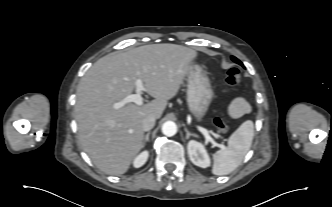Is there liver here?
Here are the masks:
<instances>
[{
  "mask_svg": "<svg viewBox=\"0 0 332 207\" xmlns=\"http://www.w3.org/2000/svg\"><path fill=\"white\" fill-rule=\"evenodd\" d=\"M196 57L185 46L153 44L108 54L91 66L77 87L75 119L79 142L97 168L109 175L127 172L145 144L143 120L162 116ZM137 79L155 99L115 109L135 90Z\"/></svg>",
  "mask_w": 332,
  "mask_h": 207,
  "instance_id": "liver-1",
  "label": "liver"
}]
</instances>
